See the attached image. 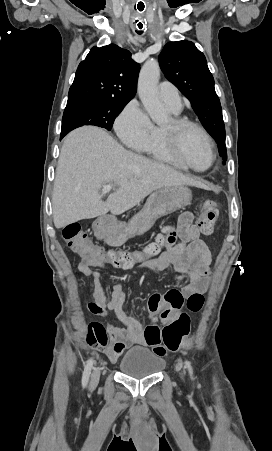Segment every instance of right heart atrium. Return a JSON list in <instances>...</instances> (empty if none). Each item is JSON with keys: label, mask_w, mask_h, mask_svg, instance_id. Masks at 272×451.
<instances>
[{"label": "right heart atrium", "mask_w": 272, "mask_h": 451, "mask_svg": "<svg viewBox=\"0 0 272 451\" xmlns=\"http://www.w3.org/2000/svg\"><path fill=\"white\" fill-rule=\"evenodd\" d=\"M115 126L120 136L132 146L145 143L154 129L146 111L134 101L124 108Z\"/></svg>", "instance_id": "right-heart-atrium-1"}]
</instances>
